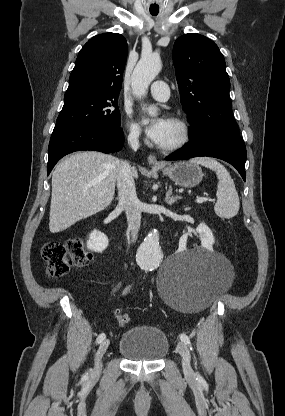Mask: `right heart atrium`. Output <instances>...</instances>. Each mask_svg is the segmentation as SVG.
I'll return each mask as SVG.
<instances>
[{
	"mask_svg": "<svg viewBox=\"0 0 285 416\" xmlns=\"http://www.w3.org/2000/svg\"><path fill=\"white\" fill-rule=\"evenodd\" d=\"M141 131L135 123L129 124V138L133 142H137L140 138Z\"/></svg>",
	"mask_w": 285,
	"mask_h": 416,
	"instance_id": "1",
	"label": "right heart atrium"
}]
</instances>
